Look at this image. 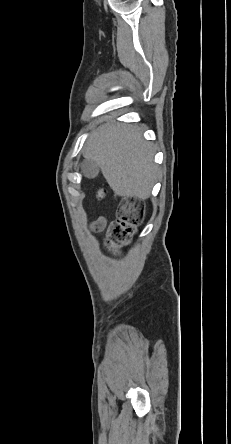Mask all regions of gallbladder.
I'll list each match as a JSON object with an SVG mask.
<instances>
[{
    "instance_id": "1",
    "label": "gallbladder",
    "mask_w": 231,
    "mask_h": 444,
    "mask_svg": "<svg viewBox=\"0 0 231 444\" xmlns=\"http://www.w3.org/2000/svg\"><path fill=\"white\" fill-rule=\"evenodd\" d=\"M81 170L87 178H95L99 173V166L95 161L86 158L81 164Z\"/></svg>"
}]
</instances>
